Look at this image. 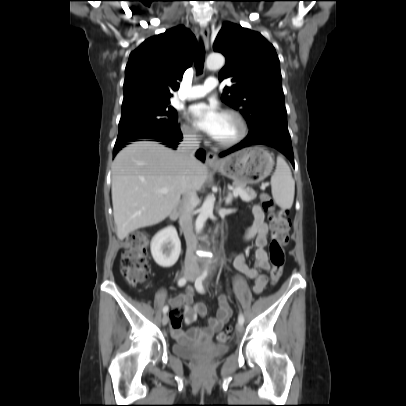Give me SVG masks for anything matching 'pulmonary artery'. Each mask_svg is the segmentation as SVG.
<instances>
[{
	"mask_svg": "<svg viewBox=\"0 0 406 406\" xmlns=\"http://www.w3.org/2000/svg\"><path fill=\"white\" fill-rule=\"evenodd\" d=\"M217 87V80L213 77H209L202 85H195L191 87L185 95L187 100H195L204 97L208 92L214 90Z\"/></svg>",
	"mask_w": 406,
	"mask_h": 406,
	"instance_id": "obj_1",
	"label": "pulmonary artery"
}]
</instances>
